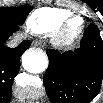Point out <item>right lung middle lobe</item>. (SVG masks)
<instances>
[{"label": "right lung middle lobe", "instance_id": "obj_1", "mask_svg": "<svg viewBox=\"0 0 103 103\" xmlns=\"http://www.w3.org/2000/svg\"><path fill=\"white\" fill-rule=\"evenodd\" d=\"M30 5H23L20 7H2L0 8V25L12 24L22 25L29 12L31 11Z\"/></svg>", "mask_w": 103, "mask_h": 103}]
</instances>
